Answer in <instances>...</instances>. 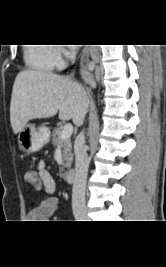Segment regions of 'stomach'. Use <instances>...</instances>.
<instances>
[{
	"mask_svg": "<svg viewBox=\"0 0 166 267\" xmlns=\"http://www.w3.org/2000/svg\"><path fill=\"white\" fill-rule=\"evenodd\" d=\"M49 139L50 130L46 126L36 128L32 124H26L18 134L19 147L25 153H35L41 150Z\"/></svg>",
	"mask_w": 166,
	"mask_h": 267,
	"instance_id": "stomach-1",
	"label": "stomach"
}]
</instances>
